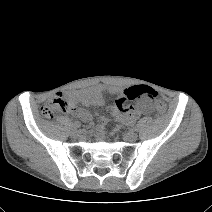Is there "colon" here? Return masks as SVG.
<instances>
[{
	"instance_id": "5ec220e1",
	"label": "colon",
	"mask_w": 212,
	"mask_h": 212,
	"mask_svg": "<svg viewBox=\"0 0 212 212\" xmlns=\"http://www.w3.org/2000/svg\"><path fill=\"white\" fill-rule=\"evenodd\" d=\"M126 97L134 100L138 98H147L154 101L156 109L160 113H165L167 110L166 104L159 97L158 93L148 86H132L126 90ZM69 108V103L66 99L56 96L49 103L41 108V115L45 119H51L58 112H65Z\"/></svg>"
}]
</instances>
